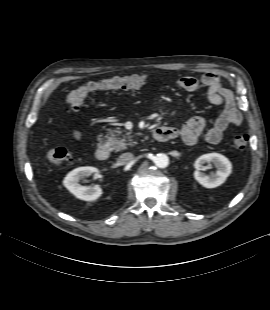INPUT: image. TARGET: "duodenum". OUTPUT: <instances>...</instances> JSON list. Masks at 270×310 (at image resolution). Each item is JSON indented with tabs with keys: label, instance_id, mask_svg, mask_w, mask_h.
I'll return each instance as SVG.
<instances>
[{
	"label": "duodenum",
	"instance_id": "obj_1",
	"mask_svg": "<svg viewBox=\"0 0 270 310\" xmlns=\"http://www.w3.org/2000/svg\"><path fill=\"white\" fill-rule=\"evenodd\" d=\"M154 138L158 141H170L175 138V133L174 130L165 127V126H160L155 129L154 131ZM109 149L106 145H99L97 146L95 150V157L100 160L104 161L107 160L109 157Z\"/></svg>",
	"mask_w": 270,
	"mask_h": 310
}]
</instances>
